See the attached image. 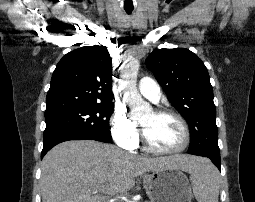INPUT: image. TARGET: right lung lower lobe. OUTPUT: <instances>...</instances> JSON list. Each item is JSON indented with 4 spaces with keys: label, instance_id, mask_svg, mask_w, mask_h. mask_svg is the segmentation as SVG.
Masks as SVG:
<instances>
[{
    "label": "right lung lower lobe",
    "instance_id": "98d812e1",
    "mask_svg": "<svg viewBox=\"0 0 255 202\" xmlns=\"http://www.w3.org/2000/svg\"><path fill=\"white\" fill-rule=\"evenodd\" d=\"M95 140L87 135H84L82 133L78 132H70V131H64V132H56L52 134H48L44 136L43 139V150L41 153V158L44 157V155L55 145L58 143L68 141V140Z\"/></svg>",
    "mask_w": 255,
    "mask_h": 202
}]
</instances>
